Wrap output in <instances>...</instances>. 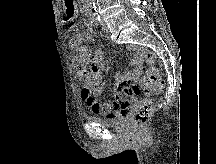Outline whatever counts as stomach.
<instances>
[{
	"instance_id": "obj_1",
	"label": "stomach",
	"mask_w": 216,
	"mask_h": 164,
	"mask_svg": "<svg viewBox=\"0 0 216 164\" xmlns=\"http://www.w3.org/2000/svg\"><path fill=\"white\" fill-rule=\"evenodd\" d=\"M63 3H65V15H62V20H76V17H78V12L74 0H63Z\"/></svg>"
}]
</instances>
